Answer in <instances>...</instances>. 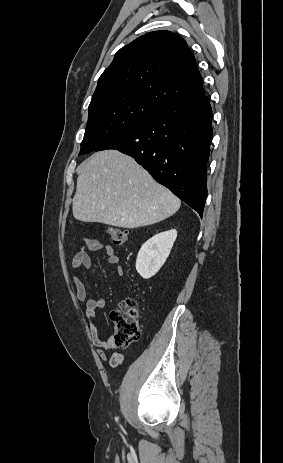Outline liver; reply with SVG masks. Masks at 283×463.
Masks as SVG:
<instances>
[{"mask_svg": "<svg viewBox=\"0 0 283 463\" xmlns=\"http://www.w3.org/2000/svg\"><path fill=\"white\" fill-rule=\"evenodd\" d=\"M180 205L179 198L119 151L97 152L78 168L72 204L77 220L132 229L163 221Z\"/></svg>", "mask_w": 283, "mask_h": 463, "instance_id": "liver-1", "label": "liver"}]
</instances>
